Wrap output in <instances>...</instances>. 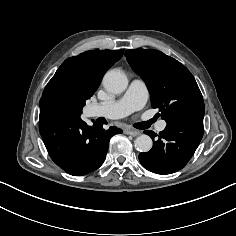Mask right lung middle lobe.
<instances>
[{"instance_id":"dd1d6c3e","label":"right lung middle lobe","mask_w":236,"mask_h":236,"mask_svg":"<svg viewBox=\"0 0 236 236\" xmlns=\"http://www.w3.org/2000/svg\"><path fill=\"white\" fill-rule=\"evenodd\" d=\"M90 96L83 91L66 85L52 88L46 96V106H56L65 112L80 117L85 101Z\"/></svg>"}]
</instances>
